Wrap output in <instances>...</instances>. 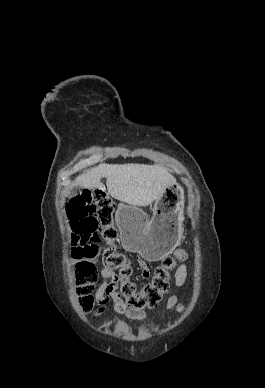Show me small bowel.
<instances>
[{"instance_id":"c3829d8e","label":"small bowel","mask_w":265,"mask_h":388,"mask_svg":"<svg viewBox=\"0 0 265 388\" xmlns=\"http://www.w3.org/2000/svg\"><path fill=\"white\" fill-rule=\"evenodd\" d=\"M138 264L141 269V276L144 280L148 279L150 276V266L149 263L141 258L138 259ZM101 275L104 278V282L100 285L96 292V299L100 305H104L108 298L110 297L113 301L114 311L126 317L129 320L134 321H144L146 318L145 312L138 309L129 308L125 302L120 297L117 291L116 285V273L108 268H104L101 271ZM187 278V267L186 265H181L175 273V284L176 286H182ZM166 308H176L178 312L183 310V307L178 302L177 295H169ZM116 329L120 332H125L128 330L129 326L125 321H117L115 325Z\"/></svg>"}]
</instances>
